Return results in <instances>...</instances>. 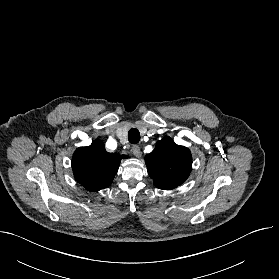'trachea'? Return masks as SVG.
I'll use <instances>...</instances> for the list:
<instances>
[{
  "label": "trachea",
  "mask_w": 279,
  "mask_h": 279,
  "mask_svg": "<svg viewBox=\"0 0 279 279\" xmlns=\"http://www.w3.org/2000/svg\"><path fill=\"white\" fill-rule=\"evenodd\" d=\"M128 140L132 144H137L140 141V133L137 129L132 128L128 132Z\"/></svg>",
  "instance_id": "trachea-1"
}]
</instances>
